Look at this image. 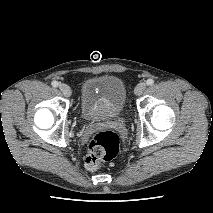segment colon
Segmentation results:
<instances>
[{"label":"colon","mask_w":213,"mask_h":213,"mask_svg":"<svg viewBox=\"0 0 213 213\" xmlns=\"http://www.w3.org/2000/svg\"><path fill=\"white\" fill-rule=\"evenodd\" d=\"M120 138L117 133L111 130L95 133L89 143L88 155L85 159V168L96 171L101 162L113 160L119 153Z\"/></svg>","instance_id":"obj_1"}]
</instances>
